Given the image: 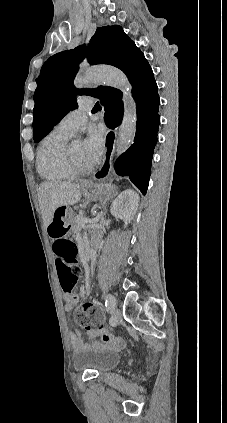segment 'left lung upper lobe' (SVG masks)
Wrapping results in <instances>:
<instances>
[{
	"instance_id": "obj_1",
	"label": "left lung upper lobe",
	"mask_w": 227,
	"mask_h": 423,
	"mask_svg": "<svg viewBox=\"0 0 227 423\" xmlns=\"http://www.w3.org/2000/svg\"><path fill=\"white\" fill-rule=\"evenodd\" d=\"M87 50V54H85ZM87 56L90 64H110L121 69L128 77L132 92L152 69L141 50L129 39L120 26L98 28L88 49L57 53L42 66L34 94V141L39 142L66 114L77 108V98L91 95L100 99L104 110L123 107L122 92L113 87L76 89L73 80L78 65Z\"/></svg>"
}]
</instances>
